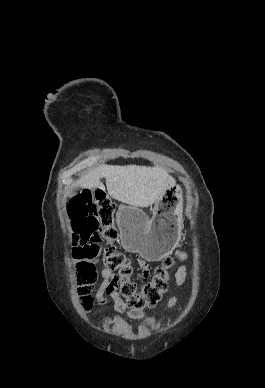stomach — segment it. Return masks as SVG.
Here are the masks:
<instances>
[{
    "instance_id": "stomach-1",
    "label": "stomach",
    "mask_w": 265,
    "mask_h": 388,
    "mask_svg": "<svg viewBox=\"0 0 265 388\" xmlns=\"http://www.w3.org/2000/svg\"><path fill=\"white\" fill-rule=\"evenodd\" d=\"M182 212L179 186L168 188L156 201L151 219L141 209L120 205L116 217L123 248L148 261H158L169 255L181 237Z\"/></svg>"
}]
</instances>
